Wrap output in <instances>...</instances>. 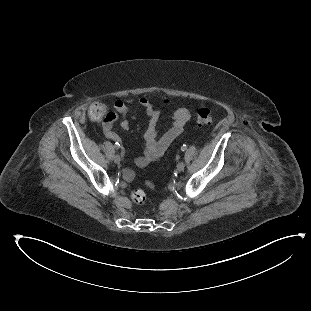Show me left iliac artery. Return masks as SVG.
<instances>
[{"label": "left iliac artery", "mask_w": 311, "mask_h": 311, "mask_svg": "<svg viewBox=\"0 0 311 311\" xmlns=\"http://www.w3.org/2000/svg\"><path fill=\"white\" fill-rule=\"evenodd\" d=\"M186 149H187V145L183 144L182 147H181V150L185 151Z\"/></svg>", "instance_id": "left-iliac-artery-1"}]
</instances>
